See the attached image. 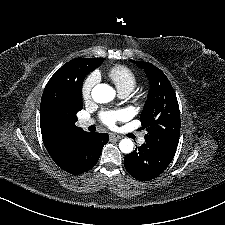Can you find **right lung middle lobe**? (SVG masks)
Returning a JSON list of instances; mask_svg holds the SVG:
<instances>
[{
	"instance_id": "dd1d6c3e",
	"label": "right lung middle lobe",
	"mask_w": 225,
	"mask_h": 225,
	"mask_svg": "<svg viewBox=\"0 0 225 225\" xmlns=\"http://www.w3.org/2000/svg\"><path fill=\"white\" fill-rule=\"evenodd\" d=\"M104 61L103 58H94L92 64L93 70ZM86 72L74 73L68 81L58 87V98L48 95L44 99L42 106L45 119L54 125L66 122L77 121L76 114L83 108L82 103V84Z\"/></svg>"
}]
</instances>
